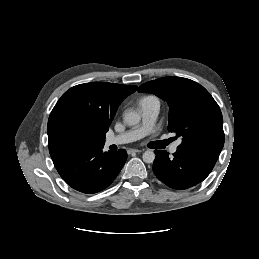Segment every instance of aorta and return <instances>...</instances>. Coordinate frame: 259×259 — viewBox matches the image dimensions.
<instances>
[{
  "label": "aorta",
  "instance_id": "1",
  "mask_svg": "<svg viewBox=\"0 0 259 259\" xmlns=\"http://www.w3.org/2000/svg\"><path fill=\"white\" fill-rule=\"evenodd\" d=\"M141 120L140 114L135 110H128L124 114V122L129 126L137 125ZM145 163H153L155 160V153L151 150H147L142 155Z\"/></svg>",
  "mask_w": 259,
  "mask_h": 259
}]
</instances>
